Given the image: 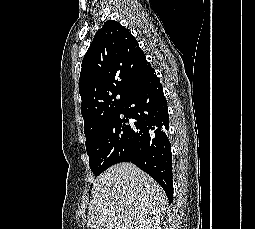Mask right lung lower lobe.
<instances>
[{
    "label": "right lung lower lobe",
    "mask_w": 255,
    "mask_h": 229,
    "mask_svg": "<svg viewBox=\"0 0 255 229\" xmlns=\"http://www.w3.org/2000/svg\"><path fill=\"white\" fill-rule=\"evenodd\" d=\"M122 112L136 120L132 127V153L124 162H131L148 173L164 189L169 204L172 203V154L167 137V101L152 67L137 78Z\"/></svg>",
    "instance_id": "1"
}]
</instances>
